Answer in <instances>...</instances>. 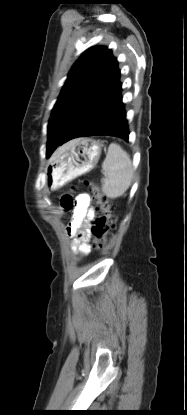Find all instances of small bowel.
<instances>
[{
    "mask_svg": "<svg viewBox=\"0 0 187 415\" xmlns=\"http://www.w3.org/2000/svg\"><path fill=\"white\" fill-rule=\"evenodd\" d=\"M91 199L88 194H81L78 196L72 220L66 228L67 234L74 235L71 244L73 252L85 256L90 253L89 233L88 227L90 222L95 217V209L91 207ZM83 227V229L76 234V231Z\"/></svg>",
    "mask_w": 187,
    "mask_h": 415,
    "instance_id": "obj_1",
    "label": "small bowel"
}]
</instances>
